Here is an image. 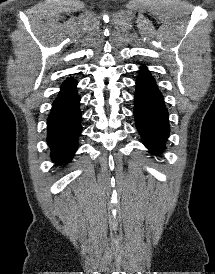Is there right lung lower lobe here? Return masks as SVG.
Returning a JSON list of instances; mask_svg holds the SVG:
<instances>
[{
	"label": "right lung lower lobe",
	"mask_w": 215,
	"mask_h": 274,
	"mask_svg": "<svg viewBox=\"0 0 215 274\" xmlns=\"http://www.w3.org/2000/svg\"><path fill=\"white\" fill-rule=\"evenodd\" d=\"M80 97L76 89L65 97L57 99L47 120V143L51 158L57 165L68 163L78 146L81 134Z\"/></svg>",
	"instance_id": "1"
}]
</instances>
